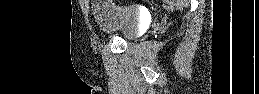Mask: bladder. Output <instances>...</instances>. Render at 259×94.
<instances>
[{
    "label": "bladder",
    "mask_w": 259,
    "mask_h": 94,
    "mask_svg": "<svg viewBox=\"0 0 259 94\" xmlns=\"http://www.w3.org/2000/svg\"><path fill=\"white\" fill-rule=\"evenodd\" d=\"M94 13L98 29L105 36L133 40L142 33V17L134 6L98 4Z\"/></svg>",
    "instance_id": "obj_1"
}]
</instances>
